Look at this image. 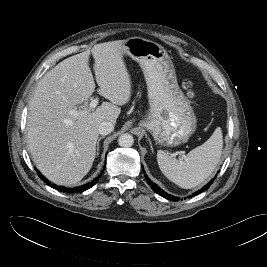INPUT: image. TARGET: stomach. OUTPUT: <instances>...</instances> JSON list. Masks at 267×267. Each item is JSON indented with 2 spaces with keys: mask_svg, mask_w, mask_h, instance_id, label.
I'll list each match as a JSON object with an SVG mask.
<instances>
[{
  "mask_svg": "<svg viewBox=\"0 0 267 267\" xmlns=\"http://www.w3.org/2000/svg\"><path fill=\"white\" fill-rule=\"evenodd\" d=\"M123 54L139 63L147 84L149 110L140 124L158 144L177 146L187 142L196 130L197 118L178 85L174 65L164 47L132 37L123 41Z\"/></svg>",
  "mask_w": 267,
  "mask_h": 267,
  "instance_id": "0dacf381",
  "label": "stomach"
}]
</instances>
